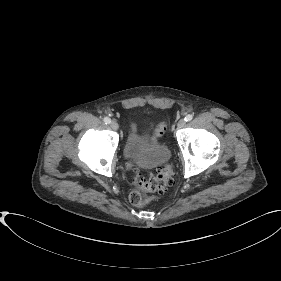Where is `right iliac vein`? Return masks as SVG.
<instances>
[{"mask_svg":"<svg viewBox=\"0 0 281 281\" xmlns=\"http://www.w3.org/2000/svg\"><path fill=\"white\" fill-rule=\"evenodd\" d=\"M110 127L113 129V130H118V128H119V125H118V123L116 122V121H111L110 122Z\"/></svg>","mask_w":281,"mask_h":281,"instance_id":"right-iliac-vein-1","label":"right iliac vein"}]
</instances>
